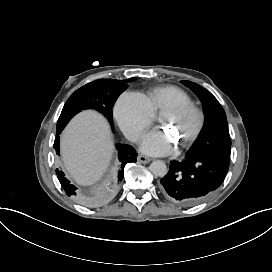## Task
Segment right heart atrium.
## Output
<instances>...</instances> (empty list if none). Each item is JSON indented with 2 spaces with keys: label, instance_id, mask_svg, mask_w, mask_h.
Returning <instances> with one entry per match:
<instances>
[{
  "label": "right heart atrium",
  "instance_id": "obj_1",
  "mask_svg": "<svg viewBox=\"0 0 272 272\" xmlns=\"http://www.w3.org/2000/svg\"><path fill=\"white\" fill-rule=\"evenodd\" d=\"M115 111L123 131L133 141H137L155 119V112L148 99L136 92L123 93Z\"/></svg>",
  "mask_w": 272,
  "mask_h": 272
}]
</instances>
